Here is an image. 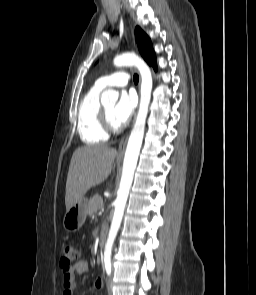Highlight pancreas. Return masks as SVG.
Segmentation results:
<instances>
[{"mask_svg": "<svg viewBox=\"0 0 256 295\" xmlns=\"http://www.w3.org/2000/svg\"><path fill=\"white\" fill-rule=\"evenodd\" d=\"M101 208H103V200L99 195H95L88 203L87 212L89 215H92Z\"/></svg>", "mask_w": 256, "mask_h": 295, "instance_id": "cf45deb5", "label": "pancreas"}]
</instances>
